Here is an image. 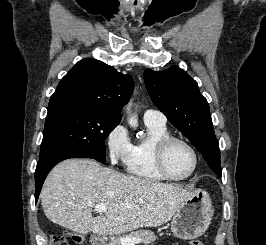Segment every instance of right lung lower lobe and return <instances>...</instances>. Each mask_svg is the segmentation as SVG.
<instances>
[{
  "mask_svg": "<svg viewBox=\"0 0 266 245\" xmlns=\"http://www.w3.org/2000/svg\"><path fill=\"white\" fill-rule=\"evenodd\" d=\"M69 158H92V157L75 152H56L41 158L37 164L35 172V202L38 201L42 185L50 170L57 163Z\"/></svg>",
  "mask_w": 266,
  "mask_h": 245,
  "instance_id": "98d812e1",
  "label": "right lung lower lobe"
}]
</instances>
